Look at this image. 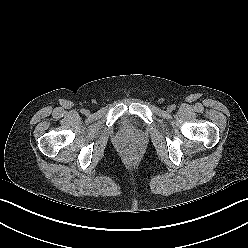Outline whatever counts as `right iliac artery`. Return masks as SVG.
I'll list each match as a JSON object with an SVG mask.
<instances>
[{
    "label": "right iliac artery",
    "instance_id": "obj_1",
    "mask_svg": "<svg viewBox=\"0 0 248 248\" xmlns=\"http://www.w3.org/2000/svg\"><path fill=\"white\" fill-rule=\"evenodd\" d=\"M86 110L85 109H81V113L85 114Z\"/></svg>",
    "mask_w": 248,
    "mask_h": 248
}]
</instances>
